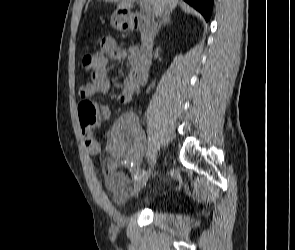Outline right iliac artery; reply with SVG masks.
Here are the masks:
<instances>
[{"label":"right iliac artery","instance_id":"obj_1","mask_svg":"<svg viewBox=\"0 0 295 250\" xmlns=\"http://www.w3.org/2000/svg\"><path fill=\"white\" fill-rule=\"evenodd\" d=\"M146 173V171L143 169V170H137L135 175H134V179L135 180H138L141 176H143L144 174Z\"/></svg>","mask_w":295,"mask_h":250}]
</instances>
